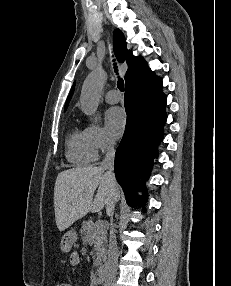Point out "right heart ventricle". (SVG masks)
Masks as SVG:
<instances>
[{
    "label": "right heart ventricle",
    "mask_w": 231,
    "mask_h": 286,
    "mask_svg": "<svg viewBox=\"0 0 231 286\" xmlns=\"http://www.w3.org/2000/svg\"><path fill=\"white\" fill-rule=\"evenodd\" d=\"M66 158L74 165H87L97 159L84 130L73 128L66 137Z\"/></svg>",
    "instance_id": "obj_1"
}]
</instances>
